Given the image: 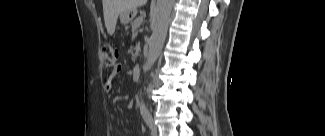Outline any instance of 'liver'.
I'll use <instances>...</instances> for the list:
<instances>
[{
  "label": "liver",
  "instance_id": "1",
  "mask_svg": "<svg viewBox=\"0 0 325 136\" xmlns=\"http://www.w3.org/2000/svg\"><path fill=\"white\" fill-rule=\"evenodd\" d=\"M147 0H103L104 21L107 32L113 35L119 14L136 10L138 6L146 4Z\"/></svg>",
  "mask_w": 325,
  "mask_h": 136
}]
</instances>
